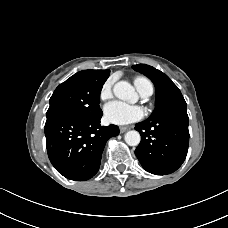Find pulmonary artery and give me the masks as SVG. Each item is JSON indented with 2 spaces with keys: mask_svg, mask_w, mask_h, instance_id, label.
Wrapping results in <instances>:
<instances>
[{
  "mask_svg": "<svg viewBox=\"0 0 228 228\" xmlns=\"http://www.w3.org/2000/svg\"><path fill=\"white\" fill-rule=\"evenodd\" d=\"M153 93V87L149 86L145 91L141 93L143 97H149Z\"/></svg>",
  "mask_w": 228,
  "mask_h": 228,
  "instance_id": "1",
  "label": "pulmonary artery"
}]
</instances>
